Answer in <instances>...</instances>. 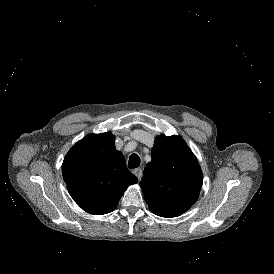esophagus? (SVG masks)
Segmentation results:
<instances>
[{
	"instance_id": "obj_1",
	"label": "esophagus",
	"mask_w": 274,
	"mask_h": 274,
	"mask_svg": "<svg viewBox=\"0 0 274 274\" xmlns=\"http://www.w3.org/2000/svg\"><path fill=\"white\" fill-rule=\"evenodd\" d=\"M133 173L137 176L138 179H141L143 171L141 168L133 169Z\"/></svg>"
}]
</instances>
